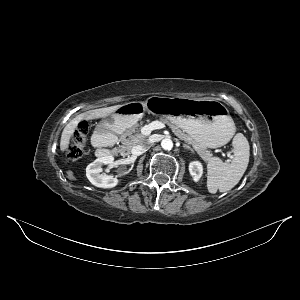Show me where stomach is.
Here are the masks:
<instances>
[{
	"label": "stomach",
	"instance_id": "0dacf381",
	"mask_svg": "<svg viewBox=\"0 0 300 300\" xmlns=\"http://www.w3.org/2000/svg\"><path fill=\"white\" fill-rule=\"evenodd\" d=\"M148 112L177 124L199 144L217 148L229 142L235 132L228 109L217 100L185 97H151L119 106L102 125L121 134Z\"/></svg>",
	"mask_w": 300,
	"mask_h": 300
}]
</instances>
